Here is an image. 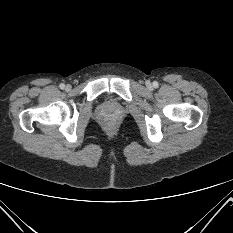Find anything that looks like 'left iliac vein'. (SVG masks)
Wrapping results in <instances>:
<instances>
[{"label": "left iliac vein", "mask_w": 233, "mask_h": 233, "mask_svg": "<svg viewBox=\"0 0 233 233\" xmlns=\"http://www.w3.org/2000/svg\"><path fill=\"white\" fill-rule=\"evenodd\" d=\"M147 87L151 88L152 87L151 83H147Z\"/></svg>", "instance_id": "left-iliac-vein-1"}]
</instances>
